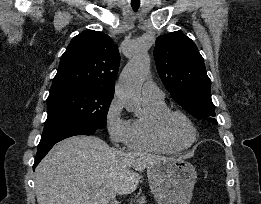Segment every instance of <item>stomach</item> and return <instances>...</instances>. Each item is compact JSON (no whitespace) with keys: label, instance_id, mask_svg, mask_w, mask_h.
I'll return each mask as SVG.
<instances>
[{"label":"stomach","instance_id":"stomach-1","mask_svg":"<svg viewBox=\"0 0 261 204\" xmlns=\"http://www.w3.org/2000/svg\"><path fill=\"white\" fill-rule=\"evenodd\" d=\"M151 192L158 204H189L197 179L194 166L185 159L171 158L147 168Z\"/></svg>","mask_w":261,"mask_h":204}]
</instances>
